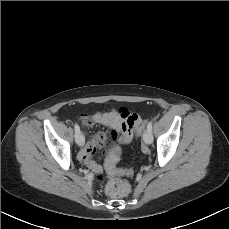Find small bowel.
Here are the masks:
<instances>
[{
  "instance_id": "small-bowel-1",
  "label": "small bowel",
  "mask_w": 229,
  "mask_h": 229,
  "mask_svg": "<svg viewBox=\"0 0 229 229\" xmlns=\"http://www.w3.org/2000/svg\"><path fill=\"white\" fill-rule=\"evenodd\" d=\"M134 115L136 114L126 108H121L118 111L97 112L92 115L82 114L79 119L84 126L91 127L99 124L109 128L110 132H99L88 137L83 144V148L78 153V159L84 162L90 169L98 170L100 166L91 159V155L97 148L102 147L108 136L111 135L116 143L106 153L104 168L109 174L116 173L117 161L115 160V155L117 152H120L122 144H128L132 140L133 132L128 128V122Z\"/></svg>"
}]
</instances>
